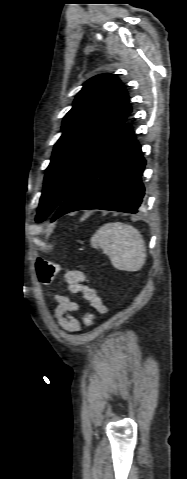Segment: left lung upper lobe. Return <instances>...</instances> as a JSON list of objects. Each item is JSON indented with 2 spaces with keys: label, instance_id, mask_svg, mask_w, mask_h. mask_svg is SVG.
<instances>
[{
  "label": "left lung upper lobe",
  "instance_id": "obj_1",
  "mask_svg": "<svg viewBox=\"0 0 187 479\" xmlns=\"http://www.w3.org/2000/svg\"><path fill=\"white\" fill-rule=\"evenodd\" d=\"M132 109L125 87L113 75L88 80L62 123L37 210L40 223L61 205L87 169L116 141Z\"/></svg>",
  "mask_w": 187,
  "mask_h": 479
}]
</instances>
